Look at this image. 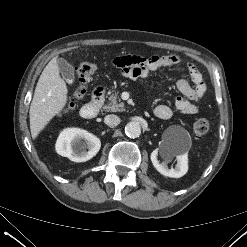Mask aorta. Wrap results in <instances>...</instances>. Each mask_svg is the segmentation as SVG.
Here are the masks:
<instances>
[{"instance_id":"obj_1","label":"aorta","mask_w":247,"mask_h":247,"mask_svg":"<svg viewBox=\"0 0 247 247\" xmlns=\"http://www.w3.org/2000/svg\"><path fill=\"white\" fill-rule=\"evenodd\" d=\"M125 134L130 138H137L141 134V126L136 121H131L125 126Z\"/></svg>"}]
</instances>
